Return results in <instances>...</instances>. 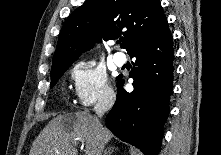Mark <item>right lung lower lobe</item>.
<instances>
[{
	"mask_svg": "<svg viewBox=\"0 0 221 155\" xmlns=\"http://www.w3.org/2000/svg\"><path fill=\"white\" fill-rule=\"evenodd\" d=\"M172 35L167 22L145 34L128 52L135 57L130 73L134 90L123 89L117 77V99L106 117V127L122 141L138 147L145 155H158L163 124L169 113L172 92Z\"/></svg>",
	"mask_w": 221,
	"mask_h": 155,
	"instance_id": "right-lung-lower-lobe-1",
	"label": "right lung lower lobe"
}]
</instances>
